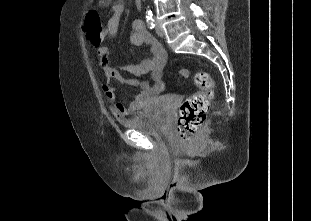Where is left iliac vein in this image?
I'll use <instances>...</instances> for the list:
<instances>
[{"label":"left iliac vein","mask_w":311,"mask_h":221,"mask_svg":"<svg viewBox=\"0 0 311 221\" xmlns=\"http://www.w3.org/2000/svg\"><path fill=\"white\" fill-rule=\"evenodd\" d=\"M156 33L159 37H164L165 33L162 27L156 22Z\"/></svg>","instance_id":"left-iliac-vein-1"}]
</instances>
